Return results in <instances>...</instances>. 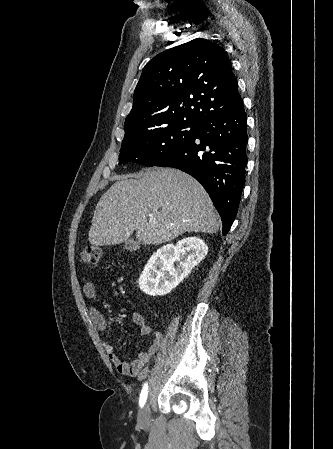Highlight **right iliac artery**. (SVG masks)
Instances as JSON below:
<instances>
[{
    "label": "right iliac artery",
    "mask_w": 333,
    "mask_h": 449,
    "mask_svg": "<svg viewBox=\"0 0 333 449\" xmlns=\"http://www.w3.org/2000/svg\"><path fill=\"white\" fill-rule=\"evenodd\" d=\"M147 395H148V385H147V383H145L144 387H143V389L141 391L140 398H139V405H140V407L144 406V404H145V402L147 400Z\"/></svg>",
    "instance_id": "right-iliac-artery-1"
}]
</instances>
